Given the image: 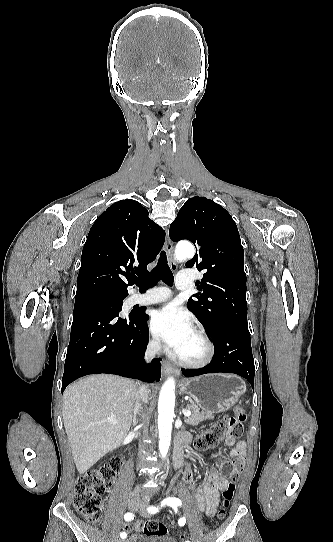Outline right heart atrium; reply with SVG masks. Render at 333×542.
Returning <instances> with one entry per match:
<instances>
[{
  "mask_svg": "<svg viewBox=\"0 0 333 542\" xmlns=\"http://www.w3.org/2000/svg\"><path fill=\"white\" fill-rule=\"evenodd\" d=\"M148 346H149V349L153 353H159L163 349L160 340L158 339V337L152 331H150V335H149V339H148Z\"/></svg>",
  "mask_w": 333,
  "mask_h": 542,
  "instance_id": "obj_1",
  "label": "right heart atrium"
}]
</instances>
